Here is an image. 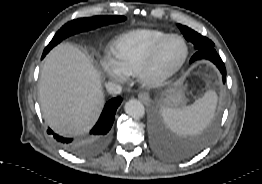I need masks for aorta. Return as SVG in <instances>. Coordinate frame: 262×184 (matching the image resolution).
<instances>
[{"label": "aorta", "instance_id": "obj_1", "mask_svg": "<svg viewBox=\"0 0 262 184\" xmlns=\"http://www.w3.org/2000/svg\"><path fill=\"white\" fill-rule=\"evenodd\" d=\"M126 114L135 119H140L145 115V108L141 101L130 99L124 106Z\"/></svg>", "mask_w": 262, "mask_h": 184}]
</instances>
